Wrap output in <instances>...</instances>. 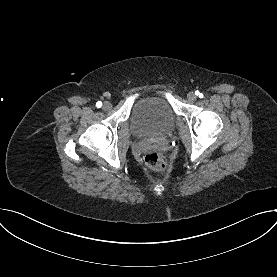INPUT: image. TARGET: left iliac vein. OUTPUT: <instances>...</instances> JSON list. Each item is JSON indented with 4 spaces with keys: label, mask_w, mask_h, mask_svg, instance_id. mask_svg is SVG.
<instances>
[{
    "label": "left iliac vein",
    "mask_w": 277,
    "mask_h": 277,
    "mask_svg": "<svg viewBox=\"0 0 277 277\" xmlns=\"http://www.w3.org/2000/svg\"><path fill=\"white\" fill-rule=\"evenodd\" d=\"M196 95H195V93L194 92H189L188 94H187V99L189 100V101H191V102H194L195 100H196Z\"/></svg>",
    "instance_id": "4c4485c4"
}]
</instances>
